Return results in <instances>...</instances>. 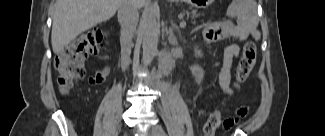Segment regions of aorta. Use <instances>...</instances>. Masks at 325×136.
<instances>
[{
    "mask_svg": "<svg viewBox=\"0 0 325 136\" xmlns=\"http://www.w3.org/2000/svg\"><path fill=\"white\" fill-rule=\"evenodd\" d=\"M158 31L157 8L153 3H149L145 6L141 20L142 62L144 66L149 65L157 53Z\"/></svg>",
    "mask_w": 325,
    "mask_h": 136,
    "instance_id": "aorta-1",
    "label": "aorta"
}]
</instances>
